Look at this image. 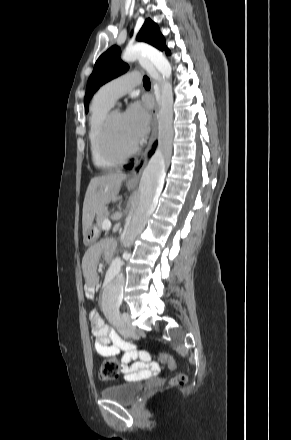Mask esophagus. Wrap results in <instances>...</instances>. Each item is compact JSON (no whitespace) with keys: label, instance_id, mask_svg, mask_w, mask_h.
Segmentation results:
<instances>
[{"label":"esophagus","instance_id":"obj_1","mask_svg":"<svg viewBox=\"0 0 291 440\" xmlns=\"http://www.w3.org/2000/svg\"><path fill=\"white\" fill-rule=\"evenodd\" d=\"M156 112H157V109H156V105H155L154 110H153L152 132H151V136L149 138L148 145H147L145 151L136 160L135 166L128 177V181L132 185L138 184L142 170L145 167L147 160H148V153L151 150L152 144L156 138V134H157Z\"/></svg>","mask_w":291,"mask_h":440}]
</instances>
